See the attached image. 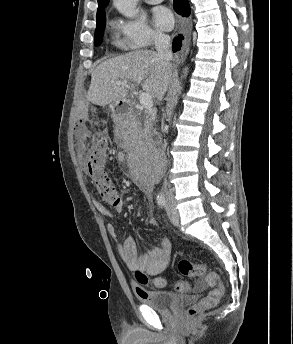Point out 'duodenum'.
Masks as SVG:
<instances>
[{
	"mask_svg": "<svg viewBox=\"0 0 293 344\" xmlns=\"http://www.w3.org/2000/svg\"><path fill=\"white\" fill-rule=\"evenodd\" d=\"M122 110V108L119 106L117 107V112H120Z\"/></svg>",
	"mask_w": 293,
	"mask_h": 344,
	"instance_id": "1",
	"label": "duodenum"
}]
</instances>
